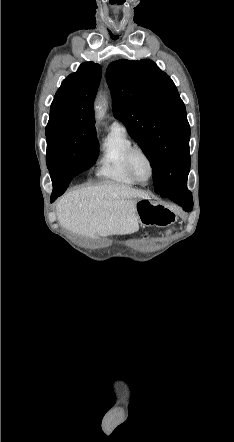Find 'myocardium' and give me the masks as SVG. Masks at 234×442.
<instances>
[{"label":"myocardium","mask_w":234,"mask_h":442,"mask_svg":"<svg viewBox=\"0 0 234 442\" xmlns=\"http://www.w3.org/2000/svg\"><path fill=\"white\" fill-rule=\"evenodd\" d=\"M136 153H142L146 157L148 162H149L151 173H150V176H149L148 180H146V181L140 180L136 176V174H135V172L133 170L132 158H133L134 154H136ZM125 165H126V169H127L128 173H129V175L138 184L145 185L154 177V174H155L154 161H153L151 155L142 147L133 146L131 149H129V151L127 152L126 157H125Z\"/></svg>","instance_id":"obj_1"}]
</instances>
